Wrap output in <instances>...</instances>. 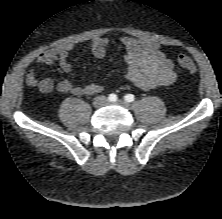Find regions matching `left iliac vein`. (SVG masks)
Returning a JSON list of instances; mask_svg holds the SVG:
<instances>
[{
    "mask_svg": "<svg viewBox=\"0 0 222 219\" xmlns=\"http://www.w3.org/2000/svg\"><path fill=\"white\" fill-rule=\"evenodd\" d=\"M115 104L120 105L126 109H128L130 107V104L124 100H118Z\"/></svg>",
    "mask_w": 222,
    "mask_h": 219,
    "instance_id": "1",
    "label": "left iliac vein"
}]
</instances>
